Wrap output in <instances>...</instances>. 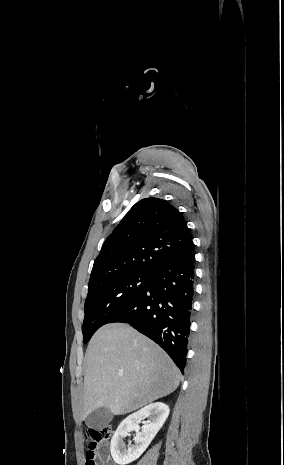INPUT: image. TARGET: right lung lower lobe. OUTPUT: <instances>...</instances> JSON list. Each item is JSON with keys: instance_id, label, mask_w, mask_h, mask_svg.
Here are the masks:
<instances>
[{"instance_id": "obj_1", "label": "right lung lower lobe", "mask_w": 284, "mask_h": 465, "mask_svg": "<svg viewBox=\"0 0 284 465\" xmlns=\"http://www.w3.org/2000/svg\"><path fill=\"white\" fill-rule=\"evenodd\" d=\"M192 243L159 268L145 288L108 323H128L161 346L183 373L190 342L195 283Z\"/></svg>"}]
</instances>
